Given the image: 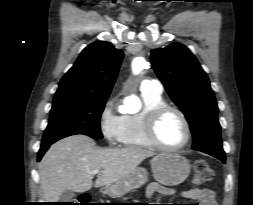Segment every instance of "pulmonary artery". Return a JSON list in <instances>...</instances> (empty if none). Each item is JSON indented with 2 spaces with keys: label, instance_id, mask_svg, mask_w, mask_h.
I'll use <instances>...</instances> for the list:
<instances>
[{
  "label": "pulmonary artery",
  "instance_id": "e3ab8cb5",
  "mask_svg": "<svg viewBox=\"0 0 253 205\" xmlns=\"http://www.w3.org/2000/svg\"><path fill=\"white\" fill-rule=\"evenodd\" d=\"M140 91L161 94L163 91V86L158 80L145 79L140 84Z\"/></svg>",
  "mask_w": 253,
  "mask_h": 205
}]
</instances>
